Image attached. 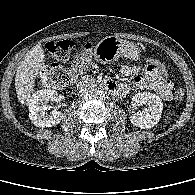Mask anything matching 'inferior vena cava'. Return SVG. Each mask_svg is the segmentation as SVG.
I'll return each mask as SVG.
<instances>
[{
	"label": "inferior vena cava",
	"instance_id": "602c4592",
	"mask_svg": "<svg viewBox=\"0 0 195 195\" xmlns=\"http://www.w3.org/2000/svg\"><path fill=\"white\" fill-rule=\"evenodd\" d=\"M93 90L85 88L80 91V97L82 99H88L93 96Z\"/></svg>",
	"mask_w": 195,
	"mask_h": 195
}]
</instances>
